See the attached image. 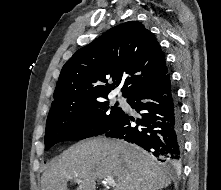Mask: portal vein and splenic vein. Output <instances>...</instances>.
I'll list each match as a JSON object with an SVG mask.
<instances>
[{
	"label": "portal vein and splenic vein",
	"instance_id": "18ae733b",
	"mask_svg": "<svg viewBox=\"0 0 221 190\" xmlns=\"http://www.w3.org/2000/svg\"><path fill=\"white\" fill-rule=\"evenodd\" d=\"M75 181L80 182L79 179H75ZM104 183L108 186H113V187L117 185L115 180L112 177L105 178Z\"/></svg>",
	"mask_w": 221,
	"mask_h": 190
}]
</instances>
